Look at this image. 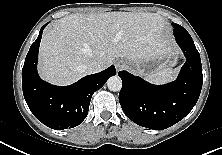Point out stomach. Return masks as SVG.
<instances>
[{
    "mask_svg": "<svg viewBox=\"0 0 222 155\" xmlns=\"http://www.w3.org/2000/svg\"><path fill=\"white\" fill-rule=\"evenodd\" d=\"M178 59V50L165 40L163 34L154 51L146 59L132 63L134 72L140 75H149L164 68L174 66Z\"/></svg>",
    "mask_w": 222,
    "mask_h": 155,
    "instance_id": "1",
    "label": "stomach"
}]
</instances>
